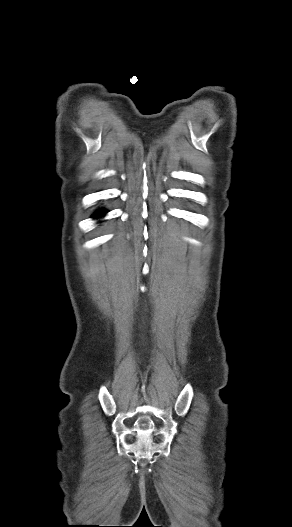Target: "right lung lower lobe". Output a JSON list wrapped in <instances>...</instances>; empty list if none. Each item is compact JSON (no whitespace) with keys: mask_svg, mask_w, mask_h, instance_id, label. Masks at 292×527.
<instances>
[{"mask_svg":"<svg viewBox=\"0 0 292 527\" xmlns=\"http://www.w3.org/2000/svg\"><path fill=\"white\" fill-rule=\"evenodd\" d=\"M104 213L105 212H98L97 214H95V217H101V216H103Z\"/></svg>","mask_w":292,"mask_h":527,"instance_id":"1","label":"right lung lower lobe"}]
</instances>
